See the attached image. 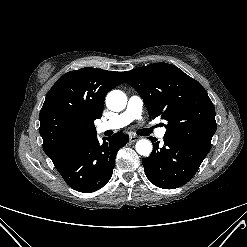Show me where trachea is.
Returning a JSON list of instances; mask_svg holds the SVG:
<instances>
[{"instance_id":"obj_1","label":"trachea","mask_w":247,"mask_h":247,"mask_svg":"<svg viewBox=\"0 0 247 247\" xmlns=\"http://www.w3.org/2000/svg\"><path fill=\"white\" fill-rule=\"evenodd\" d=\"M152 132L151 129H141L138 131V133L142 136H148Z\"/></svg>"}]
</instances>
